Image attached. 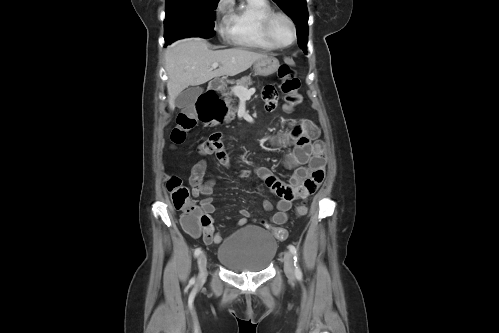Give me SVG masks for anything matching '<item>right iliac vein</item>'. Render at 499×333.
<instances>
[{
	"label": "right iliac vein",
	"mask_w": 499,
	"mask_h": 333,
	"mask_svg": "<svg viewBox=\"0 0 499 333\" xmlns=\"http://www.w3.org/2000/svg\"><path fill=\"white\" fill-rule=\"evenodd\" d=\"M199 281H203L207 276V257L205 252H202L198 257Z\"/></svg>",
	"instance_id": "63e3f726"
}]
</instances>
